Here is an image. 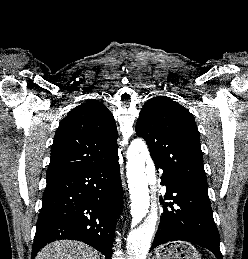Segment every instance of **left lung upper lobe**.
<instances>
[{"label": "left lung upper lobe", "instance_id": "5c2ea615", "mask_svg": "<svg viewBox=\"0 0 248 259\" xmlns=\"http://www.w3.org/2000/svg\"><path fill=\"white\" fill-rule=\"evenodd\" d=\"M136 132L146 140L155 165L193 190L207 192L197 125L192 114L164 96L143 106Z\"/></svg>", "mask_w": 248, "mask_h": 259}]
</instances>
